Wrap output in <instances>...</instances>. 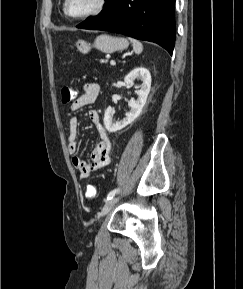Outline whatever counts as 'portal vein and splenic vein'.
Masks as SVG:
<instances>
[{"instance_id":"obj_1","label":"portal vein and splenic vein","mask_w":243,"mask_h":289,"mask_svg":"<svg viewBox=\"0 0 243 289\" xmlns=\"http://www.w3.org/2000/svg\"><path fill=\"white\" fill-rule=\"evenodd\" d=\"M110 64H111V65H115L116 63H115V61L111 60V61H110Z\"/></svg>"}]
</instances>
